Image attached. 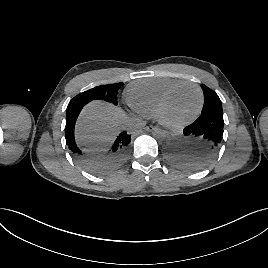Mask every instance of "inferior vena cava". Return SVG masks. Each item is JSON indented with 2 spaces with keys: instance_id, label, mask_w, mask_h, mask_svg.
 Wrapping results in <instances>:
<instances>
[{
  "instance_id": "inferior-vena-cava-1",
  "label": "inferior vena cava",
  "mask_w": 268,
  "mask_h": 268,
  "mask_svg": "<svg viewBox=\"0 0 268 268\" xmlns=\"http://www.w3.org/2000/svg\"><path fill=\"white\" fill-rule=\"evenodd\" d=\"M131 124H132V119H126L124 122V125L126 128H129Z\"/></svg>"
}]
</instances>
